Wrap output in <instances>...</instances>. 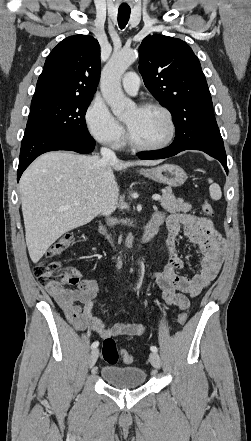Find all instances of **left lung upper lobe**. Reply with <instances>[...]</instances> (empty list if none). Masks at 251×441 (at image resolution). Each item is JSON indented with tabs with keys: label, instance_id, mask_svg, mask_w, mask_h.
<instances>
[{
	"label": "left lung upper lobe",
	"instance_id": "obj_1",
	"mask_svg": "<svg viewBox=\"0 0 251 441\" xmlns=\"http://www.w3.org/2000/svg\"><path fill=\"white\" fill-rule=\"evenodd\" d=\"M139 51L144 84L171 112L176 129L199 115L214 116L199 59L186 42L169 36H147Z\"/></svg>",
	"mask_w": 251,
	"mask_h": 441
}]
</instances>
